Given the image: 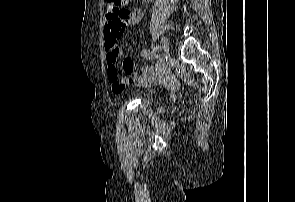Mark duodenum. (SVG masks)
I'll list each match as a JSON object with an SVG mask.
<instances>
[{
    "mask_svg": "<svg viewBox=\"0 0 295 202\" xmlns=\"http://www.w3.org/2000/svg\"><path fill=\"white\" fill-rule=\"evenodd\" d=\"M144 1L148 2V1H150V0H144Z\"/></svg>",
    "mask_w": 295,
    "mask_h": 202,
    "instance_id": "obj_1",
    "label": "duodenum"
}]
</instances>
